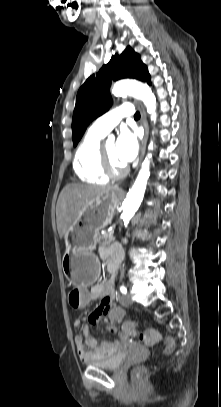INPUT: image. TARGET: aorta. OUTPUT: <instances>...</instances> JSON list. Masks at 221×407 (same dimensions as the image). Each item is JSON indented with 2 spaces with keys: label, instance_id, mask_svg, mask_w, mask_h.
I'll use <instances>...</instances> for the list:
<instances>
[{
  "label": "aorta",
  "instance_id": "762f6f07",
  "mask_svg": "<svg viewBox=\"0 0 221 407\" xmlns=\"http://www.w3.org/2000/svg\"><path fill=\"white\" fill-rule=\"evenodd\" d=\"M112 94L115 96L132 95L143 101L147 112L151 115V120L156 121V97L151 88L138 81L122 80L114 84ZM153 149V142L149 145V150ZM152 154L149 153L142 163L139 174L130 188L122 204V218L130 220L138 210L146 190L147 181L150 176V159Z\"/></svg>",
  "mask_w": 221,
  "mask_h": 407
}]
</instances>
